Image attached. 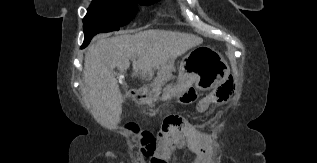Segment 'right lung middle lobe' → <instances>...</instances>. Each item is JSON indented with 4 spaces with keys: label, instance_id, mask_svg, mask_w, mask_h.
I'll list each match as a JSON object with an SVG mask.
<instances>
[{
    "label": "right lung middle lobe",
    "instance_id": "1",
    "mask_svg": "<svg viewBox=\"0 0 317 163\" xmlns=\"http://www.w3.org/2000/svg\"><path fill=\"white\" fill-rule=\"evenodd\" d=\"M157 0H93L83 19L84 43L101 32L119 30L137 13V3L149 5Z\"/></svg>",
    "mask_w": 317,
    "mask_h": 163
}]
</instances>
